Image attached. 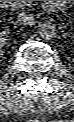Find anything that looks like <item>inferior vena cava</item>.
<instances>
[{"label":"inferior vena cava","instance_id":"inferior-vena-cava-1","mask_svg":"<svg viewBox=\"0 0 74 122\" xmlns=\"http://www.w3.org/2000/svg\"><path fill=\"white\" fill-rule=\"evenodd\" d=\"M17 22L21 25H33L34 16L30 12L23 11L18 15Z\"/></svg>","mask_w":74,"mask_h":122}]
</instances>
